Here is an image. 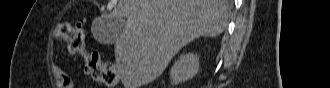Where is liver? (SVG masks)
<instances>
[{
  "mask_svg": "<svg viewBox=\"0 0 330 88\" xmlns=\"http://www.w3.org/2000/svg\"><path fill=\"white\" fill-rule=\"evenodd\" d=\"M227 19V0H119L101 42L114 43L125 88H139L195 38L220 35Z\"/></svg>",
  "mask_w": 330,
  "mask_h": 88,
  "instance_id": "obj_1",
  "label": "liver"
}]
</instances>
